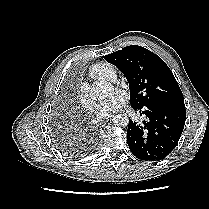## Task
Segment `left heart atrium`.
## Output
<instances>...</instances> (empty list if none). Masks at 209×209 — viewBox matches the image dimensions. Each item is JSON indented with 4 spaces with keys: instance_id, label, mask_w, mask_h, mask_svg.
Instances as JSON below:
<instances>
[{
    "instance_id": "obj_1",
    "label": "left heart atrium",
    "mask_w": 209,
    "mask_h": 209,
    "mask_svg": "<svg viewBox=\"0 0 209 209\" xmlns=\"http://www.w3.org/2000/svg\"><path fill=\"white\" fill-rule=\"evenodd\" d=\"M127 102V95L123 92H116L108 100L101 103L97 108L99 119H107L122 109Z\"/></svg>"
}]
</instances>
